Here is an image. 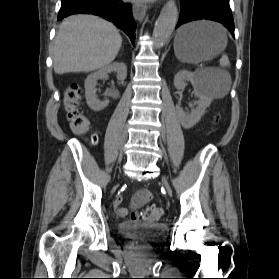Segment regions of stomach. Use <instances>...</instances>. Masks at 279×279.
Instances as JSON below:
<instances>
[{
    "instance_id": "stomach-1",
    "label": "stomach",
    "mask_w": 279,
    "mask_h": 279,
    "mask_svg": "<svg viewBox=\"0 0 279 279\" xmlns=\"http://www.w3.org/2000/svg\"><path fill=\"white\" fill-rule=\"evenodd\" d=\"M226 44V32L221 26L208 21H196L178 30L174 52L182 62L198 63L219 54Z\"/></svg>"
}]
</instances>
